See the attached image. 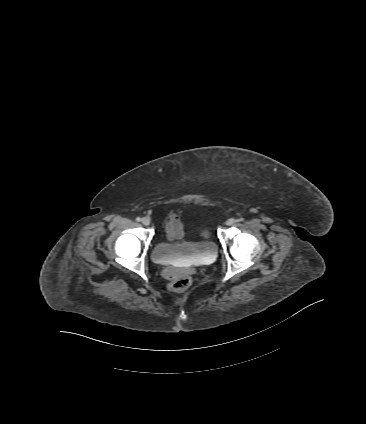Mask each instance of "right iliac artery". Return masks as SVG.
<instances>
[{"label":"right iliac artery","instance_id":"obj_1","mask_svg":"<svg viewBox=\"0 0 366 424\" xmlns=\"http://www.w3.org/2000/svg\"><path fill=\"white\" fill-rule=\"evenodd\" d=\"M136 221L140 222L141 221V218L140 217H137L136 218Z\"/></svg>","mask_w":366,"mask_h":424}]
</instances>
